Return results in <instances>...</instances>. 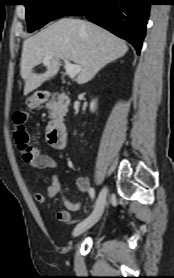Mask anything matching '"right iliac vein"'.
I'll return each instance as SVG.
<instances>
[{"instance_id":"obj_1","label":"right iliac vein","mask_w":174,"mask_h":278,"mask_svg":"<svg viewBox=\"0 0 174 278\" xmlns=\"http://www.w3.org/2000/svg\"><path fill=\"white\" fill-rule=\"evenodd\" d=\"M107 192V188L104 187L97 198L93 212L90 214L89 217H87L84 221H82L75 227L73 231V237L81 235L86 230L91 228L100 219L104 211Z\"/></svg>"}]
</instances>
